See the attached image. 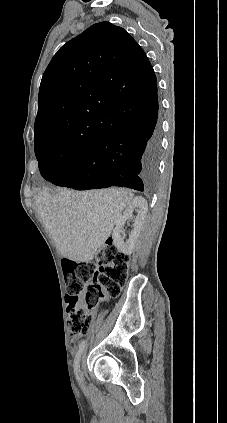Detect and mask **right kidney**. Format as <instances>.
I'll list each match as a JSON object with an SVG mask.
<instances>
[{
  "label": "right kidney",
  "mask_w": 227,
  "mask_h": 423,
  "mask_svg": "<svg viewBox=\"0 0 227 423\" xmlns=\"http://www.w3.org/2000/svg\"><path fill=\"white\" fill-rule=\"evenodd\" d=\"M147 210V200H144L141 196H137V198H134V200L130 202L128 208H126L121 215H118L115 221L116 227H114L112 233L113 243L118 251H122V253H126V255L133 253L135 241L140 233V229H142ZM133 211H136L137 215H133ZM126 219H133L134 223L133 229L129 233V239L124 241V237L121 235V227H123Z\"/></svg>",
  "instance_id": "right-kidney-1"
}]
</instances>
